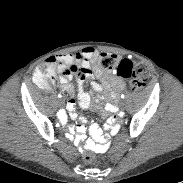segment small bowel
Returning <instances> with one entry per match:
<instances>
[{"label":"small bowel","instance_id":"small-bowel-1","mask_svg":"<svg viewBox=\"0 0 183 183\" xmlns=\"http://www.w3.org/2000/svg\"><path fill=\"white\" fill-rule=\"evenodd\" d=\"M98 57L99 54L96 49L86 47L77 54L51 56L44 65L52 67L54 72L57 71L59 73L61 89L66 91L71 97V100L66 105L69 114L67 111L61 110L58 112L57 117L61 124L67 127L66 132L68 135L73 136L77 132L75 136L76 144H81L85 140L87 120L80 118L77 129L71 125L72 121L77 118L75 110L77 108L87 109L89 107L99 110L102 100L100 96L93 97L84 91L83 86L85 82L89 81L93 91L96 93H100L104 89L109 91V102L105 104L104 110L113 113L112 118H109L107 123L101 124L99 129L96 125H91V140L86 142L89 149L95 152L106 153L110 149V144L106 140L111 139L113 133L117 130L115 121L119 122L123 118L122 113L117 111L115 101L119 92L124 90L125 83L118 78L105 74L98 65ZM94 75L100 78L101 82L95 81ZM70 81L76 83V86L71 84ZM76 93L78 101L73 99Z\"/></svg>","mask_w":183,"mask_h":183}]
</instances>
